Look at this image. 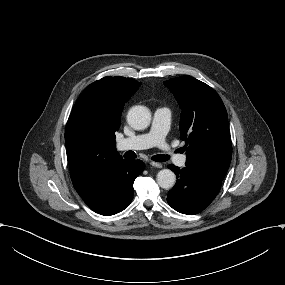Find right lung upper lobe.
Wrapping results in <instances>:
<instances>
[{
  "mask_svg": "<svg viewBox=\"0 0 285 285\" xmlns=\"http://www.w3.org/2000/svg\"><path fill=\"white\" fill-rule=\"evenodd\" d=\"M141 83L125 77H104L80 95L65 130L70 176L79 196L90 198L125 160L116 150L125 102Z\"/></svg>",
  "mask_w": 285,
  "mask_h": 285,
  "instance_id": "right-lung-upper-lobe-1",
  "label": "right lung upper lobe"
}]
</instances>
